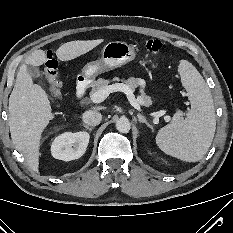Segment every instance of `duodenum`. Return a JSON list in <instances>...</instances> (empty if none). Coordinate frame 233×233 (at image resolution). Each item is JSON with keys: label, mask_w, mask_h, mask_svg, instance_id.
<instances>
[{"label": "duodenum", "mask_w": 233, "mask_h": 233, "mask_svg": "<svg viewBox=\"0 0 233 233\" xmlns=\"http://www.w3.org/2000/svg\"><path fill=\"white\" fill-rule=\"evenodd\" d=\"M88 86V82L85 78H79L77 83H76V98L78 101H81L83 98L86 89Z\"/></svg>", "instance_id": "410a0bca"}]
</instances>
